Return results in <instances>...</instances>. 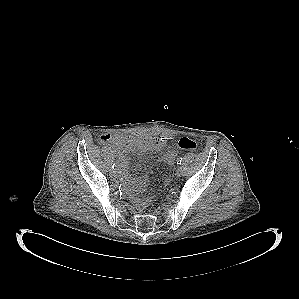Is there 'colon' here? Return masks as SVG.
<instances>
[{"label": "colon", "instance_id": "5ec220e1", "mask_svg": "<svg viewBox=\"0 0 299 299\" xmlns=\"http://www.w3.org/2000/svg\"><path fill=\"white\" fill-rule=\"evenodd\" d=\"M178 146L179 148L183 149V150H188V151H194L197 149V143L195 140L189 138V137H182L179 141H178ZM149 200L146 199L142 202L143 205H148L149 204Z\"/></svg>", "mask_w": 299, "mask_h": 299}]
</instances>
